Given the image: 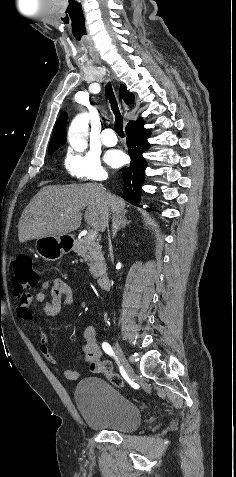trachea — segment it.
I'll return each mask as SVG.
<instances>
[{
  "label": "trachea",
  "mask_w": 236,
  "mask_h": 477,
  "mask_svg": "<svg viewBox=\"0 0 236 477\" xmlns=\"http://www.w3.org/2000/svg\"><path fill=\"white\" fill-rule=\"evenodd\" d=\"M106 95H107V98L111 104V109L115 115V132L120 136V137H124V131H123V118H122V115L119 111V108H118V105H117V101H116V98H115V95H114V92H113V89H112V86L110 83L107 84L106 86Z\"/></svg>",
  "instance_id": "1"
}]
</instances>
